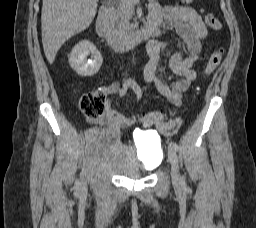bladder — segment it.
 <instances>
[{
    "label": "bladder",
    "mask_w": 256,
    "mask_h": 228,
    "mask_svg": "<svg viewBox=\"0 0 256 228\" xmlns=\"http://www.w3.org/2000/svg\"><path fill=\"white\" fill-rule=\"evenodd\" d=\"M86 149L92 164L101 166L112 174L131 179L154 170L163 156L158 139L142 137L138 155L136 149L121 141L117 131L109 129L92 130L87 138Z\"/></svg>",
    "instance_id": "1"
}]
</instances>
